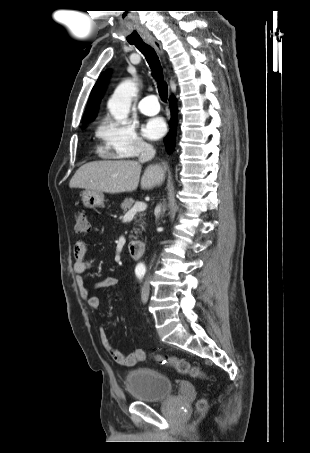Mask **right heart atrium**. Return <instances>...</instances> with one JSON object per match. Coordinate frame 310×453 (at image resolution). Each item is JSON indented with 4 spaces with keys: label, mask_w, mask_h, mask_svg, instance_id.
<instances>
[{
    "label": "right heart atrium",
    "mask_w": 310,
    "mask_h": 453,
    "mask_svg": "<svg viewBox=\"0 0 310 453\" xmlns=\"http://www.w3.org/2000/svg\"><path fill=\"white\" fill-rule=\"evenodd\" d=\"M99 136L104 145V153L113 158L135 157L149 147L129 122L106 119L102 122Z\"/></svg>",
    "instance_id": "1"
}]
</instances>
